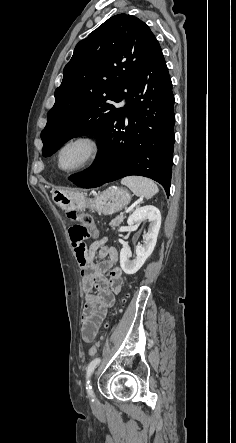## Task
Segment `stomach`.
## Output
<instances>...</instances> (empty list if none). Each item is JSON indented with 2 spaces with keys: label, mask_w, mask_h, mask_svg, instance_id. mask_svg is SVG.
<instances>
[{
  "label": "stomach",
  "mask_w": 236,
  "mask_h": 443,
  "mask_svg": "<svg viewBox=\"0 0 236 443\" xmlns=\"http://www.w3.org/2000/svg\"><path fill=\"white\" fill-rule=\"evenodd\" d=\"M53 200L64 210L90 207L99 214L112 215L129 204L131 194L122 187L111 186L94 199H86L80 192L55 190L53 191Z\"/></svg>",
  "instance_id": "stomach-1"
}]
</instances>
